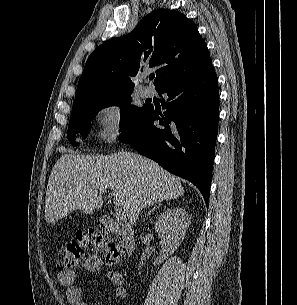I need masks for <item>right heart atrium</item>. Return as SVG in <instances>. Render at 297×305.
<instances>
[{
	"mask_svg": "<svg viewBox=\"0 0 297 305\" xmlns=\"http://www.w3.org/2000/svg\"><path fill=\"white\" fill-rule=\"evenodd\" d=\"M98 137L105 145L116 142L124 133L126 115L124 102L119 97H108L96 112Z\"/></svg>",
	"mask_w": 297,
	"mask_h": 305,
	"instance_id": "d8ad5b80",
	"label": "right heart atrium"
}]
</instances>
